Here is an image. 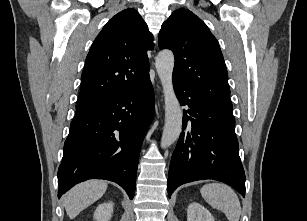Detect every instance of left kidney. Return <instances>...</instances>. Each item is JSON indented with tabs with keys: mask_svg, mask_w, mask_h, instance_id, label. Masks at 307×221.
Listing matches in <instances>:
<instances>
[{
	"mask_svg": "<svg viewBox=\"0 0 307 221\" xmlns=\"http://www.w3.org/2000/svg\"><path fill=\"white\" fill-rule=\"evenodd\" d=\"M187 221H214V218L204 206L193 202L187 209Z\"/></svg>",
	"mask_w": 307,
	"mask_h": 221,
	"instance_id": "left-kidney-1",
	"label": "left kidney"
}]
</instances>
